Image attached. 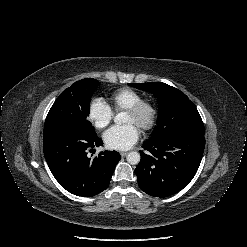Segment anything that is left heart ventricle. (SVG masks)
I'll use <instances>...</instances> for the list:
<instances>
[{"label":"left heart ventricle","mask_w":247,"mask_h":247,"mask_svg":"<svg viewBox=\"0 0 247 247\" xmlns=\"http://www.w3.org/2000/svg\"><path fill=\"white\" fill-rule=\"evenodd\" d=\"M145 116H146V114H143L141 116H137V115H134V114L126 111L123 121L125 123H134L136 125H139V123L142 121V119H144Z\"/></svg>","instance_id":"obj_1"}]
</instances>
